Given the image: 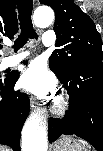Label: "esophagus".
Wrapping results in <instances>:
<instances>
[{"instance_id": "esophagus-1", "label": "esophagus", "mask_w": 103, "mask_h": 151, "mask_svg": "<svg viewBox=\"0 0 103 151\" xmlns=\"http://www.w3.org/2000/svg\"><path fill=\"white\" fill-rule=\"evenodd\" d=\"M30 104H31V108L32 109H36L37 108V102L34 100V98H31Z\"/></svg>"}]
</instances>
